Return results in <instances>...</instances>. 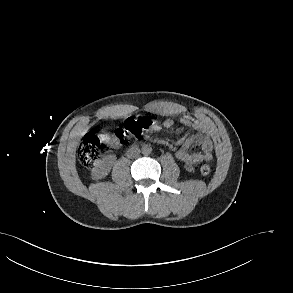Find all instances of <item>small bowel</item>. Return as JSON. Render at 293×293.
I'll use <instances>...</instances> for the list:
<instances>
[{"label":"small bowel","mask_w":293,"mask_h":293,"mask_svg":"<svg viewBox=\"0 0 293 293\" xmlns=\"http://www.w3.org/2000/svg\"><path fill=\"white\" fill-rule=\"evenodd\" d=\"M179 121L183 126L194 129L195 133L186 137L182 145L175 151V157L187 164H197L210 161L213 157V143L206 131L204 122L190 116H183ZM173 125L174 120L171 118H166L162 122L164 128H171ZM159 129V125L154 127L155 131ZM177 132L181 133L182 130L179 129ZM193 146H200L201 151L190 152V148Z\"/></svg>","instance_id":"small-bowel-1"}]
</instances>
